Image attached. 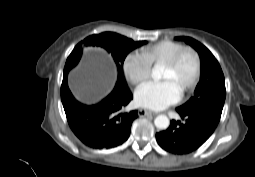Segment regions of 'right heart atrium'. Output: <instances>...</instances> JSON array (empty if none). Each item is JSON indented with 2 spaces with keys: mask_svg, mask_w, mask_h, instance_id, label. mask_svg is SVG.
I'll use <instances>...</instances> for the list:
<instances>
[{
  "mask_svg": "<svg viewBox=\"0 0 255 177\" xmlns=\"http://www.w3.org/2000/svg\"><path fill=\"white\" fill-rule=\"evenodd\" d=\"M151 70V63L139 52L129 53L123 63L124 74L133 85H139L147 80Z\"/></svg>",
  "mask_w": 255,
  "mask_h": 177,
  "instance_id": "right-heart-atrium-1",
  "label": "right heart atrium"
}]
</instances>
